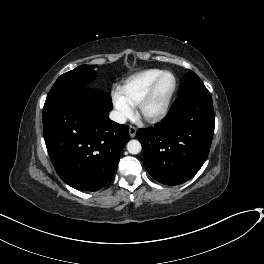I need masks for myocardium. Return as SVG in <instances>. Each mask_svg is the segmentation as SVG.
<instances>
[{
  "label": "myocardium",
  "instance_id": "1",
  "mask_svg": "<svg viewBox=\"0 0 264 264\" xmlns=\"http://www.w3.org/2000/svg\"><path fill=\"white\" fill-rule=\"evenodd\" d=\"M165 76H170L172 78V87H171L170 91L168 92L165 100L163 101L162 105L160 106V108L157 111H155L153 113H149V114L145 113L144 107L150 101V99L153 97L159 83L161 82V80ZM176 89H177V79H176L175 75L171 72H168V71L162 72L152 82V84L149 86V88L146 90V92L141 96V98L136 103V115L140 119H142L146 122H149V123H153V122H157V121L161 120L168 113V111L170 109V105H171L172 99L175 95Z\"/></svg>",
  "mask_w": 264,
  "mask_h": 264
}]
</instances>
